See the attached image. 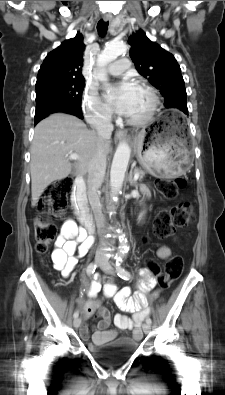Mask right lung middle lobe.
<instances>
[{
	"label": "right lung middle lobe",
	"mask_w": 225,
	"mask_h": 395,
	"mask_svg": "<svg viewBox=\"0 0 225 395\" xmlns=\"http://www.w3.org/2000/svg\"><path fill=\"white\" fill-rule=\"evenodd\" d=\"M84 86L85 80L51 81L36 85L35 116L59 105H81Z\"/></svg>",
	"instance_id": "dd1d6c3e"
}]
</instances>
